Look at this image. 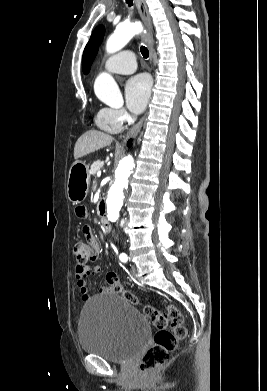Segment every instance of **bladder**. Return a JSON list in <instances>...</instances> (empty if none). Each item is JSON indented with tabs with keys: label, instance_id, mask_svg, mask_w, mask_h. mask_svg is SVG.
<instances>
[{
	"label": "bladder",
	"instance_id": "31cf9c89",
	"mask_svg": "<svg viewBox=\"0 0 267 391\" xmlns=\"http://www.w3.org/2000/svg\"><path fill=\"white\" fill-rule=\"evenodd\" d=\"M148 336L145 318L118 294L95 297L82 309L79 342L84 353L126 363L140 353Z\"/></svg>",
	"mask_w": 267,
	"mask_h": 391
}]
</instances>
